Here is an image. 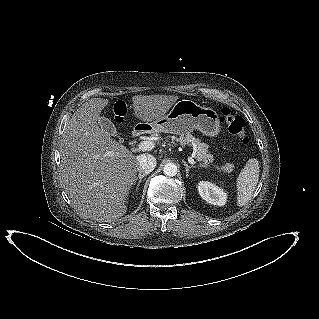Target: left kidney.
I'll list each match as a JSON object with an SVG mask.
<instances>
[{"label": "left kidney", "mask_w": 319, "mask_h": 319, "mask_svg": "<svg viewBox=\"0 0 319 319\" xmlns=\"http://www.w3.org/2000/svg\"><path fill=\"white\" fill-rule=\"evenodd\" d=\"M198 191L200 196L210 204L223 206L226 203V193L211 182H200Z\"/></svg>", "instance_id": "1"}]
</instances>
